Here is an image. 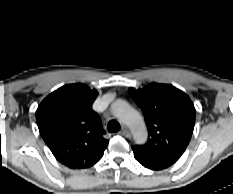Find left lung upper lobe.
I'll return each instance as SVG.
<instances>
[{"label": "left lung upper lobe", "instance_id": "5c2ea615", "mask_svg": "<svg viewBox=\"0 0 233 194\" xmlns=\"http://www.w3.org/2000/svg\"><path fill=\"white\" fill-rule=\"evenodd\" d=\"M141 107L149 140L133 152L154 160L176 162L185 151L194 129L195 108L190 98L171 85L151 83L143 89H129Z\"/></svg>", "mask_w": 233, "mask_h": 194}]
</instances>
